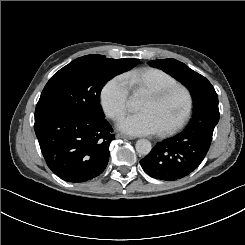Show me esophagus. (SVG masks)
Instances as JSON below:
<instances>
[{
    "label": "esophagus",
    "mask_w": 245,
    "mask_h": 245,
    "mask_svg": "<svg viewBox=\"0 0 245 245\" xmlns=\"http://www.w3.org/2000/svg\"><path fill=\"white\" fill-rule=\"evenodd\" d=\"M116 138H124V139H128V140H134L135 139V137H133V136H128V135L121 134V133H117Z\"/></svg>",
    "instance_id": "1"
}]
</instances>
